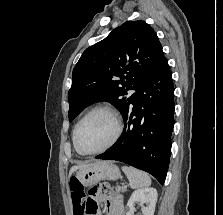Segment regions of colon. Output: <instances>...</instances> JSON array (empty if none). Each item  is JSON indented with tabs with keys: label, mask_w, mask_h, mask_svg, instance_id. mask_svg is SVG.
<instances>
[{
	"label": "colon",
	"mask_w": 223,
	"mask_h": 215,
	"mask_svg": "<svg viewBox=\"0 0 223 215\" xmlns=\"http://www.w3.org/2000/svg\"><path fill=\"white\" fill-rule=\"evenodd\" d=\"M70 190L74 215H86L90 210L83 186L79 180L73 177L70 181Z\"/></svg>",
	"instance_id": "obj_1"
}]
</instances>
